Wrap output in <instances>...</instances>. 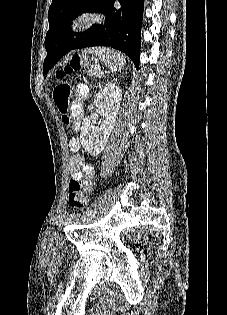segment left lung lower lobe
I'll return each instance as SVG.
<instances>
[{
  "label": "left lung lower lobe",
  "mask_w": 227,
  "mask_h": 315,
  "mask_svg": "<svg viewBox=\"0 0 227 315\" xmlns=\"http://www.w3.org/2000/svg\"><path fill=\"white\" fill-rule=\"evenodd\" d=\"M114 2L115 0H108L102 11L106 15L105 23L93 26L87 37L78 43L70 46L63 39L55 38L46 41L47 57L43 65L45 73L71 49L93 46H108L124 52L138 69L144 0H119L120 9L114 7Z\"/></svg>",
  "instance_id": "obj_1"
}]
</instances>
